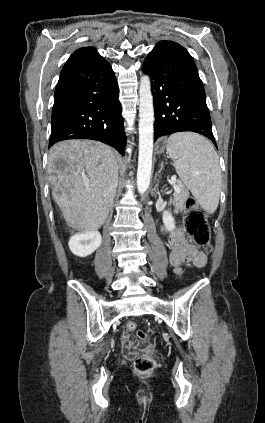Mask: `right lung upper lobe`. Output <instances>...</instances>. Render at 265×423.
Here are the masks:
<instances>
[{"mask_svg":"<svg viewBox=\"0 0 265 423\" xmlns=\"http://www.w3.org/2000/svg\"><path fill=\"white\" fill-rule=\"evenodd\" d=\"M98 55V56H100L98 53H97V51H96V49H94V48H92V47H85V48H80V49H78L77 51H75L71 56H70V58L71 57H74V56H79V55Z\"/></svg>","mask_w":265,"mask_h":423,"instance_id":"cb5924a9","label":"right lung upper lobe"}]
</instances>
